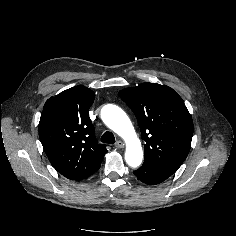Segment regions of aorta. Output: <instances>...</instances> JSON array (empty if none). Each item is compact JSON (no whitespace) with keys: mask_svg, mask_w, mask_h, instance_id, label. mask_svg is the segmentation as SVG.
<instances>
[{"mask_svg":"<svg viewBox=\"0 0 236 236\" xmlns=\"http://www.w3.org/2000/svg\"><path fill=\"white\" fill-rule=\"evenodd\" d=\"M101 118L111 130L125 140L126 163L133 168L138 167L143 159V151L141 142L127 114L120 107L108 104L102 108Z\"/></svg>","mask_w":236,"mask_h":236,"instance_id":"1","label":"aorta"}]
</instances>
